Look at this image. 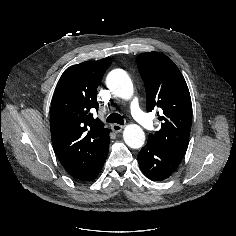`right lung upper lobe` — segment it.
<instances>
[{
    "label": "right lung upper lobe",
    "mask_w": 236,
    "mask_h": 236,
    "mask_svg": "<svg viewBox=\"0 0 236 236\" xmlns=\"http://www.w3.org/2000/svg\"><path fill=\"white\" fill-rule=\"evenodd\" d=\"M111 58L71 66L60 78L50 111L54 151L65 170L79 179L108 152L109 129L94 119L98 110L97 87Z\"/></svg>",
    "instance_id": "1"
}]
</instances>
